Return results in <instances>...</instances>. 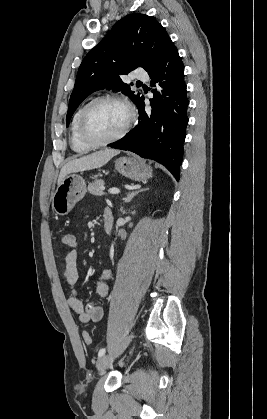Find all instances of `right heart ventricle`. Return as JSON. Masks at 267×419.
Listing matches in <instances>:
<instances>
[{
  "label": "right heart ventricle",
  "mask_w": 267,
  "mask_h": 419,
  "mask_svg": "<svg viewBox=\"0 0 267 419\" xmlns=\"http://www.w3.org/2000/svg\"><path fill=\"white\" fill-rule=\"evenodd\" d=\"M84 106L80 107L74 114L72 122H71V135H70V145L71 148L74 152L79 153V154H84L89 152L92 147L84 144L79 136H78V132H77V127H78V120H79V116L80 113L82 111Z\"/></svg>",
  "instance_id": "right-heart-ventricle-1"
}]
</instances>
